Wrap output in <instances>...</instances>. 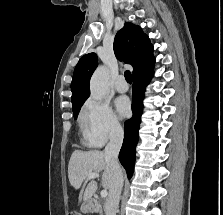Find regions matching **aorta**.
<instances>
[{
  "mask_svg": "<svg viewBox=\"0 0 223 215\" xmlns=\"http://www.w3.org/2000/svg\"><path fill=\"white\" fill-rule=\"evenodd\" d=\"M108 76V68L106 66H98L90 80V98L102 100L106 96L109 90Z\"/></svg>",
  "mask_w": 223,
  "mask_h": 215,
  "instance_id": "aorta-1",
  "label": "aorta"
}]
</instances>
